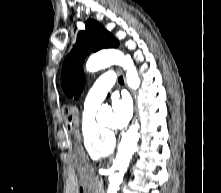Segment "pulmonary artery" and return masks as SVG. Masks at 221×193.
Returning <instances> with one entry per match:
<instances>
[{"label": "pulmonary artery", "mask_w": 221, "mask_h": 193, "mask_svg": "<svg viewBox=\"0 0 221 193\" xmlns=\"http://www.w3.org/2000/svg\"><path fill=\"white\" fill-rule=\"evenodd\" d=\"M116 80L115 74L112 71L103 73L96 81L94 86L90 89L84 102V109H96L102 100L111 89Z\"/></svg>", "instance_id": "obj_1"}]
</instances>
